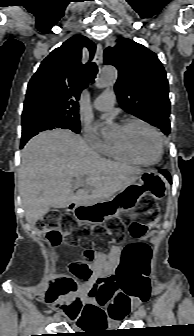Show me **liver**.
Instances as JSON below:
<instances>
[{
    "instance_id": "6515ba94",
    "label": "liver",
    "mask_w": 194,
    "mask_h": 336,
    "mask_svg": "<svg viewBox=\"0 0 194 336\" xmlns=\"http://www.w3.org/2000/svg\"><path fill=\"white\" fill-rule=\"evenodd\" d=\"M140 174L137 167L102 158L71 131L42 132L22 151L19 179L26 221L34 226L51 207L108 200L134 184Z\"/></svg>"
}]
</instances>
